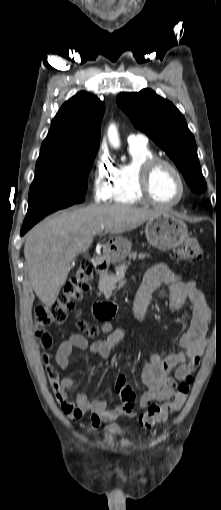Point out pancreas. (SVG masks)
I'll use <instances>...</instances> for the list:
<instances>
[{
    "mask_svg": "<svg viewBox=\"0 0 221 510\" xmlns=\"http://www.w3.org/2000/svg\"><path fill=\"white\" fill-rule=\"evenodd\" d=\"M129 262L123 261L119 266H116V271L119 274H104L100 276L99 279V290L105 294V296H111L112 292L116 289V284L120 280V273H123L126 268L127 264H130V260H135L137 257V252H130L128 254ZM145 257H149L148 254L145 253H139L138 258L140 260H143Z\"/></svg>",
    "mask_w": 221,
    "mask_h": 510,
    "instance_id": "obj_1",
    "label": "pancreas"
}]
</instances>
